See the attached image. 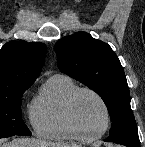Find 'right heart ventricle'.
Returning a JSON list of instances; mask_svg holds the SVG:
<instances>
[{"label":"right heart ventricle","instance_id":"e07e8e85","mask_svg":"<svg viewBox=\"0 0 145 147\" xmlns=\"http://www.w3.org/2000/svg\"><path fill=\"white\" fill-rule=\"evenodd\" d=\"M76 88L75 81L62 74L46 81L31 108L32 124L39 137L54 141L85 140L74 130L66 113V101Z\"/></svg>","mask_w":145,"mask_h":147}]
</instances>
